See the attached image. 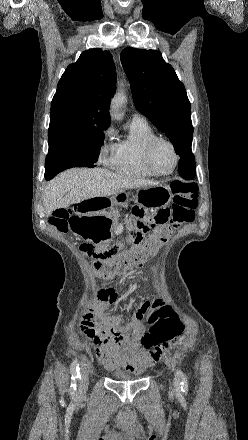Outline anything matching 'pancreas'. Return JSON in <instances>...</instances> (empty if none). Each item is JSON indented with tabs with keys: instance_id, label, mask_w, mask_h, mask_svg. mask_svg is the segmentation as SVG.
Wrapping results in <instances>:
<instances>
[{
	"instance_id": "pancreas-1",
	"label": "pancreas",
	"mask_w": 248,
	"mask_h": 440,
	"mask_svg": "<svg viewBox=\"0 0 248 440\" xmlns=\"http://www.w3.org/2000/svg\"><path fill=\"white\" fill-rule=\"evenodd\" d=\"M112 215H113L114 219L117 220L118 217H119V211H118V210H114V211L112 212Z\"/></svg>"
}]
</instances>
